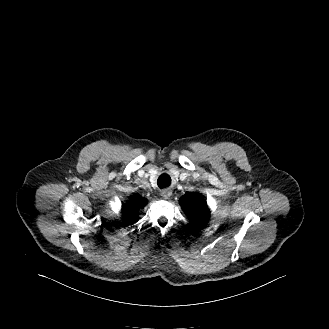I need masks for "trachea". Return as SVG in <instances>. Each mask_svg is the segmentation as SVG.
<instances>
[{"label": "trachea", "instance_id": "1", "mask_svg": "<svg viewBox=\"0 0 329 329\" xmlns=\"http://www.w3.org/2000/svg\"><path fill=\"white\" fill-rule=\"evenodd\" d=\"M158 186L160 188H165V187H168L171 183V178L170 176L164 174V175H161L158 179Z\"/></svg>", "mask_w": 329, "mask_h": 329}]
</instances>
